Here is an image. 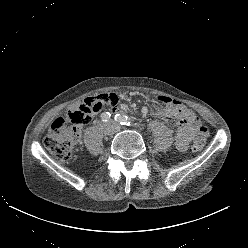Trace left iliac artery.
<instances>
[{"mask_svg":"<svg viewBox=\"0 0 248 248\" xmlns=\"http://www.w3.org/2000/svg\"><path fill=\"white\" fill-rule=\"evenodd\" d=\"M115 120L119 122L121 125H127V126H136V127H142V124H137V123H132L130 118L124 114H116L115 115Z\"/></svg>","mask_w":248,"mask_h":248,"instance_id":"obj_1","label":"left iliac artery"}]
</instances>
